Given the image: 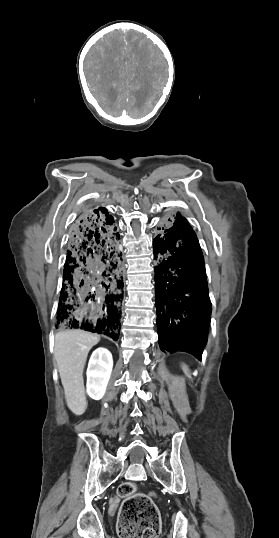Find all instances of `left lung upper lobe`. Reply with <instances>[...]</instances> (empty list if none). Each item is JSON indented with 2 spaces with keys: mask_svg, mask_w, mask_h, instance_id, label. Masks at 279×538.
<instances>
[{
  "mask_svg": "<svg viewBox=\"0 0 279 538\" xmlns=\"http://www.w3.org/2000/svg\"><path fill=\"white\" fill-rule=\"evenodd\" d=\"M181 216L179 213H177L176 217Z\"/></svg>",
  "mask_w": 279,
  "mask_h": 538,
  "instance_id": "obj_1",
  "label": "left lung upper lobe"
}]
</instances>
